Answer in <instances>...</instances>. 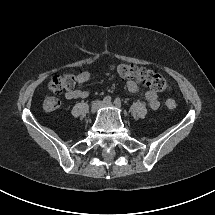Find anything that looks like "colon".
<instances>
[{
	"label": "colon",
	"mask_w": 215,
	"mask_h": 215,
	"mask_svg": "<svg viewBox=\"0 0 215 215\" xmlns=\"http://www.w3.org/2000/svg\"><path fill=\"white\" fill-rule=\"evenodd\" d=\"M116 73L127 79H134L145 86L156 90L165 91L169 88L168 82L161 75L145 68L138 67L133 64L122 63L115 67ZM78 83L77 76L73 74H64L53 77L49 82V89L54 93H59L63 90H73ZM166 108L174 110L177 107V102L173 98H167L164 102ZM60 106V101L54 96H47L43 101V107L46 111H54Z\"/></svg>",
	"instance_id": "1"
}]
</instances>
